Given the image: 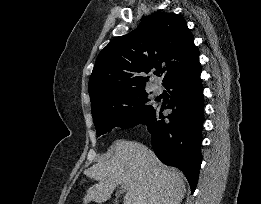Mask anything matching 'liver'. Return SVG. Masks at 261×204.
Returning a JSON list of instances; mask_svg holds the SVG:
<instances>
[{
  "instance_id": "1",
  "label": "liver",
  "mask_w": 261,
  "mask_h": 204,
  "mask_svg": "<svg viewBox=\"0 0 261 204\" xmlns=\"http://www.w3.org/2000/svg\"><path fill=\"white\" fill-rule=\"evenodd\" d=\"M112 156L85 171L98 181L83 203L110 199L118 185L128 186L123 204H180L186 194L183 173L164 165L145 145L124 139L111 146Z\"/></svg>"
}]
</instances>
